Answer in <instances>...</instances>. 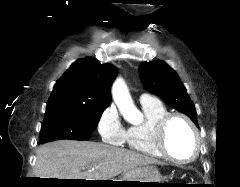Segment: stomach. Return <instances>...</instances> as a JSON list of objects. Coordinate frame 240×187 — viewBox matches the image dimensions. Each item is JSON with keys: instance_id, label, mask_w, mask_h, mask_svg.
I'll return each instance as SVG.
<instances>
[{"instance_id": "obj_1", "label": "stomach", "mask_w": 240, "mask_h": 187, "mask_svg": "<svg viewBox=\"0 0 240 187\" xmlns=\"http://www.w3.org/2000/svg\"><path fill=\"white\" fill-rule=\"evenodd\" d=\"M161 174L159 170L153 165L142 166L134 170H129L123 173L121 180L112 181H130L117 182L116 186H140V187H157L161 182ZM140 182H157V183H140Z\"/></svg>"}]
</instances>
